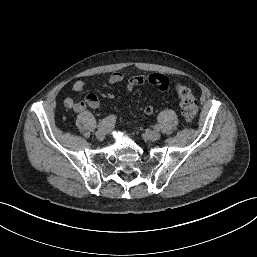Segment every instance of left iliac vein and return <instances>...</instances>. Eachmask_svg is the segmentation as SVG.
Instances as JSON below:
<instances>
[{
  "mask_svg": "<svg viewBox=\"0 0 257 257\" xmlns=\"http://www.w3.org/2000/svg\"><path fill=\"white\" fill-rule=\"evenodd\" d=\"M145 136L150 141H156L160 138L161 134L158 131H149Z\"/></svg>",
  "mask_w": 257,
  "mask_h": 257,
  "instance_id": "4c4485c4",
  "label": "left iliac vein"
}]
</instances>
